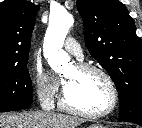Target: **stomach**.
Segmentation results:
<instances>
[{"mask_svg":"<svg viewBox=\"0 0 142 128\" xmlns=\"http://www.w3.org/2000/svg\"><path fill=\"white\" fill-rule=\"evenodd\" d=\"M89 128H106V127L99 125V124H92L89 126Z\"/></svg>","mask_w":142,"mask_h":128,"instance_id":"1","label":"stomach"}]
</instances>
